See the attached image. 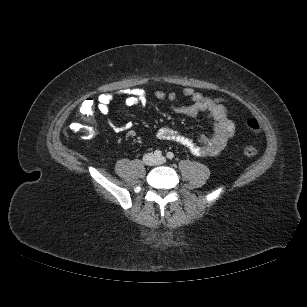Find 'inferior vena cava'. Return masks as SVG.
<instances>
[{"label":"inferior vena cava","mask_w":307,"mask_h":307,"mask_svg":"<svg viewBox=\"0 0 307 307\" xmlns=\"http://www.w3.org/2000/svg\"><path fill=\"white\" fill-rule=\"evenodd\" d=\"M150 156H151L150 154L144 156L145 162H147L146 160H147V158L150 157Z\"/></svg>","instance_id":"obj_1"}]
</instances>
